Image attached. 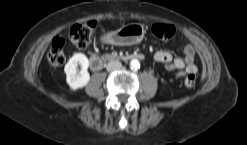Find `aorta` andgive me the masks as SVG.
<instances>
[{
    "mask_svg": "<svg viewBox=\"0 0 247 145\" xmlns=\"http://www.w3.org/2000/svg\"><path fill=\"white\" fill-rule=\"evenodd\" d=\"M130 67L132 70H138L140 68V63L137 59H133L130 62Z\"/></svg>",
    "mask_w": 247,
    "mask_h": 145,
    "instance_id": "aorta-1",
    "label": "aorta"
}]
</instances>
